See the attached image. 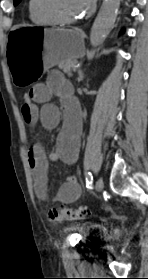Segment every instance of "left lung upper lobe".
I'll use <instances>...</instances> for the list:
<instances>
[{"label": "left lung upper lobe", "mask_w": 148, "mask_h": 279, "mask_svg": "<svg viewBox=\"0 0 148 279\" xmlns=\"http://www.w3.org/2000/svg\"><path fill=\"white\" fill-rule=\"evenodd\" d=\"M21 0H14V5H17Z\"/></svg>", "instance_id": "obj_1"}]
</instances>
